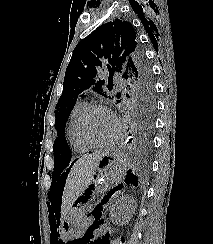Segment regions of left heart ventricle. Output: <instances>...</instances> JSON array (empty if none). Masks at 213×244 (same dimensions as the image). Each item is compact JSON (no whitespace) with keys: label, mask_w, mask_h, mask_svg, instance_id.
I'll return each instance as SVG.
<instances>
[{"label":"left heart ventricle","mask_w":213,"mask_h":244,"mask_svg":"<svg viewBox=\"0 0 213 244\" xmlns=\"http://www.w3.org/2000/svg\"><path fill=\"white\" fill-rule=\"evenodd\" d=\"M115 122L112 116L103 110H94L86 121V131L95 141H107L115 133Z\"/></svg>","instance_id":"obj_1"}]
</instances>
